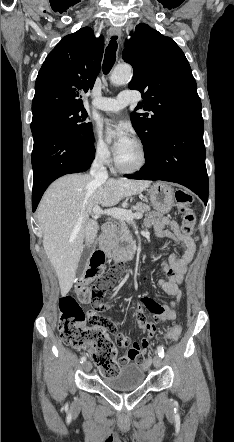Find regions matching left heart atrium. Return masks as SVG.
Masks as SVG:
<instances>
[{
    "mask_svg": "<svg viewBox=\"0 0 234 442\" xmlns=\"http://www.w3.org/2000/svg\"><path fill=\"white\" fill-rule=\"evenodd\" d=\"M107 129L116 137L115 153L117 156L122 154L134 143L130 127L127 123L123 121L108 120Z\"/></svg>",
    "mask_w": 234,
    "mask_h": 442,
    "instance_id": "1",
    "label": "left heart atrium"
}]
</instances>
